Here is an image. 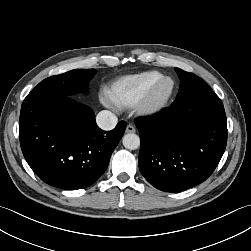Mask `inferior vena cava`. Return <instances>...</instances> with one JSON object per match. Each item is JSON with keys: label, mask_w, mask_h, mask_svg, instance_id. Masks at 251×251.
Here are the masks:
<instances>
[{"label": "inferior vena cava", "mask_w": 251, "mask_h": 251, "mask_svg": "<svg viewBox=\"0 0 251 251\" xmlns=\"http://www.w3.org/2000/svg\"><path fill=\"white\" fill-rule=\"evenodd\" d=\"M117 121L116 115L108 110H103L96 116L97 125L102 130H112L116 126Z\"/></svg>", "instance_id": "1"}]
</instances>
